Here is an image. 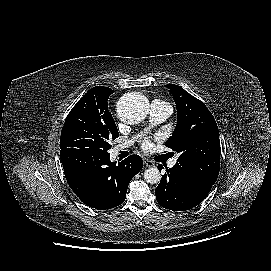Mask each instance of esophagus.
<instances>
[{
	"mask_svg": "<svg viewBox=\"0 0 271 271\" xmlns=\"http://www.w3.org/2000/svg\"><path fill=\"white\" fill-rule=\"evenodd\" d=\"M144 164H145L147 167H152V166H154V163H153L151 160H148V159H144Z\"/></svg>",
	"mask_w": 271,
	"mask_h": 271,
	"instance_id": "esophagus-1",
	"label": "esophagus"
}]
</instances>
